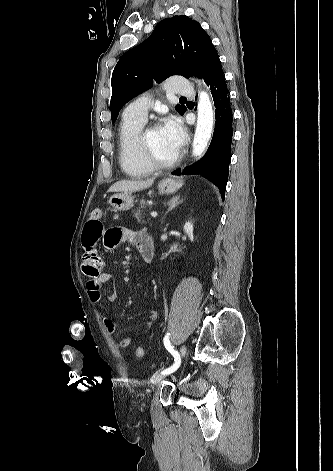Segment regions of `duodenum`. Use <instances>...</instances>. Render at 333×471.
Returning <instances> with one entry per match:
<instances>
[{"label":"duodenum","instance_id":"1","mask_svg":"<svg viewBox=\"0 0 333 471\" xmlns=\"http://www.w3.org/2000/svg\"><path fill=\"white\" fill-rule=\"evenodd\" d=\"M139 252L146 263L151 262L154 256V243L151 238H146L140 243Z\"/></svg>","mask_w":333,"mask_h":471}]
</instances>
